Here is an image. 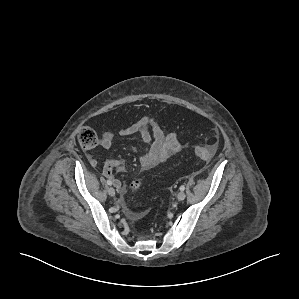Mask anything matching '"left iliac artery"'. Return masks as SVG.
I'll return each mask as SVG.
<instances>
[{
    "mask_svg": "<svg viewBox=\"0 0 299 299\" xmlns=\"http://www.w3.org/2000/svg\"><path fill=\"white\" fill-rule=\"evenodd\" d=\"M181 191H184L185 190V186L184 185H182V186H180V188H179Z\"/></svg>",
    "mask_w": 299,
    "mask_h": 299,
    "instance_id": "left-iliac-artery-1",
    "label": "left iliac artery"
}]
</instances>
